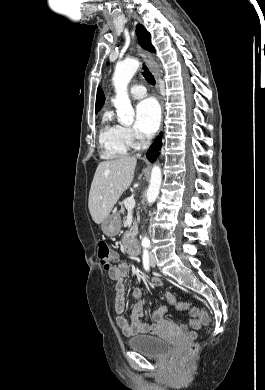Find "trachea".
<instances>
[{
    "mask_svg": "<svg viewBox=\"0 0 265 390\" xmlns=\"http://www.w3.org/2000/svg\"><path fill=\"white\" fill-rule=\"evenodd\" d=\"M143 70H144V77L146 79V81L148 83H150L151 85H155V79L153 77V75L151 74V72H149L148 68L143 65Z\"/></svg>",
    "mask_w": 265,
    "mask_h": 390,
    "instance_id": "3493384b",
    "label": "trachea"
}]
</instances>
